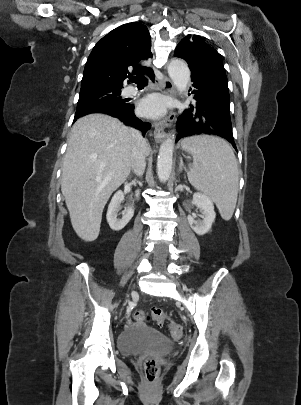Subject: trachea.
Returning a JSON list of instances; mask_svg holds the SVG:
<instances>
[{"instance_id":"obj_1","label":"trachea","mask_w":301,"mask_h":405,"mask_svg":"<svg viewBox=\"0 0 301 405\" xmlns=\"http://www.w3.org/2000/svg\"><path fill=\"white\" fill-rule=\"evenodd\" d=\"M130 80L137 84V86H146L148 79L145 76L130 77Z\"/></svg>"}]
</instances>
